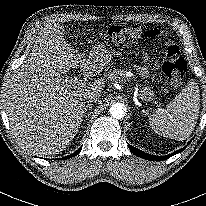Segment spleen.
I'll use <instances>...</instances> for the list:
<instances>
[{
	"label": "spleen",
	"mask_w": 206,
	"mask_h": 206,
	"mask_svg": "<svg viewBox=\"0 0 206 206\" xmlns=\"http://www.w3.org/2000/svg\"><path fill=\"white\" fill-rule=\"evenodd\" d=\"M199 87L191 81L165 107L156 110L149 118L151 129L162 136L185 140L193 132L200 109Z\"/></svg>",
	"instance_id": "1"
}]
</instances>
